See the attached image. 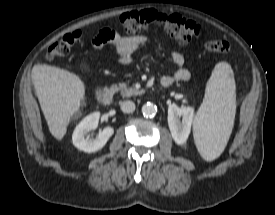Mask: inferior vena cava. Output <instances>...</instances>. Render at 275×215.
Masks as SVG:
<instances>
[{
	"label": "inferior vena cava",
	"mask_w": 275,
	"mask_h": 215,
	"mask_svg": "<svg viewBox=\"0 0 275 215\" xmlns=\"http://www.w3.org/2000/svg\"><path fill=\"white\" fill-rule=\"evenodd\" d=\"M121 110L124 113H132L135 110V104L134 102L128 100V101H123L120 105Z\"/></svg>",
	"instance_id": "inferior-vena-cava-1"
}]
</instances>
